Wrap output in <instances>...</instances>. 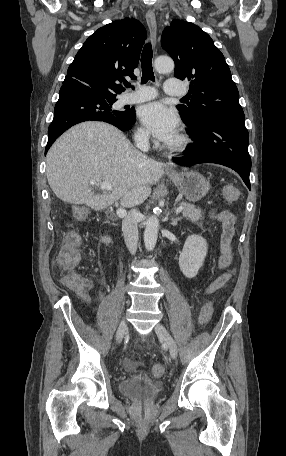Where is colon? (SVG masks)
<instances>
[{"label": "colon", "instance_id": "obj_1", "mask_svg": "<svg viewBox=\"0 0 286 456\" xmlns=\"http://www.w3.org/2000/svg\"><path fill=\"white\" fill-rule=\"evenodd\" d=\"M224 196L234 201L238 197V190L235 186L225 185L222 188ZM81 260V254L79 250V239L78 236L70 232L67 236L66 243L61 247L56 262L58 267L61 269L60 281L66 287L75 291H86L90 287V280L75 272V268L78 266ZM212 304L210 302L204 304L199 314V323L206 324L212 315ZM125 367L129 370H134L136 364L132 360H125ZM152 375L155 378H160L164 375V367L161 364H154L152 367Z\"/></svg>", "mask_w": 286, "mask_h": 456}]
</instances>
